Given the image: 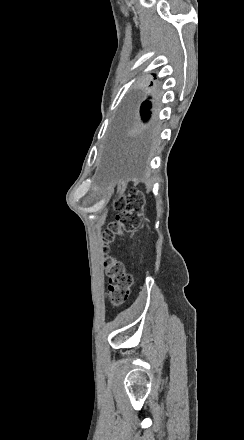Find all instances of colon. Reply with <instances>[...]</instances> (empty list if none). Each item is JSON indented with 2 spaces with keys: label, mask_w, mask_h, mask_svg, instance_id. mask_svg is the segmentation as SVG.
<instances>
[{
  "label": "colon",
  "mask_w": 244,
  "mask_h": 440,
  "mask_svg": "<svg viewBox=\"0 0 244 440\" xmlns=\"http://www.w3.org/2000/svg\"><path fill=\"white\" fill-rule=\"evenodd\" d=\"M114 207L117 211L115 222L107 226L103 232L106 243L113 240L117 234L133 231L140 226L143 216V200L139 189L132 188L124 204L116 202ZM103 251L107 254V245ZM104 269L109 281L106 297L113 305L121 306L129 297L133 278L117 258L107 257Z\"/></svg>",
  "instance_id": "colon-1"
}]
</instances>
